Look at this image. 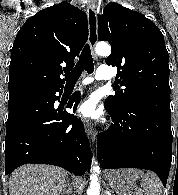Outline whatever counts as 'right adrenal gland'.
<instances>
[{"label": "right adrenal gland", "instance_id": "obj_1", "mask_svg": "<svg viewBox=\"0 0 178 195\" xmlns=\"http://www.w3.org/2000/svg\"><path fill=\"white\" fill-rule=\"evenodd\" d=\"M72 191L71 185L69 180L67 181L66 187L63 189V193H66L67 195H69Z\"/></svg>", "mask_w": 178, "mask_h": 195}]
</instances>
